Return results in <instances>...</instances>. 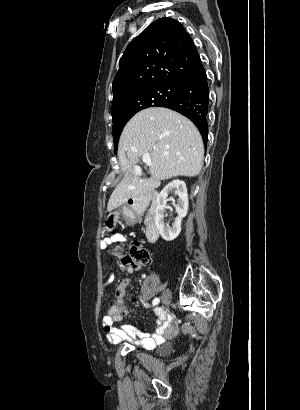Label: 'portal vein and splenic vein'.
<instances>
[{"mask_svg": "<svg viewBox=\"0 0 300 410\" xmlns=\"http://www.w3.org/2000/svg\"><path fill=\"white\" fill-rule=\"evenodd\" d=\"M142 161L146 164V165H151L152 164V160L150 158V154H144L142 157Z\"/></svg>", "mask_w": 300, "mask_h": 410, "instance_id": "18ae733b", "label": "portal vein and splenic vein"}]
</instances>
